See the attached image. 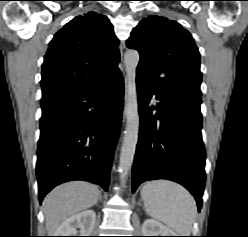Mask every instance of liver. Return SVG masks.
I'll list each match as a JSON object with an SVG mask.
<instances>
[{
  "mask_svg": "<svg viewBox=\"0 0 248 237\" xmlns=\"http://www.w3.org/2000/svg\"><path fill=\"white\" fill-rule=\"evenodd\" d=\"M99 195L95 185L82 181L68 182L53 189L43 202L48 234L53 236L67 218L94 206Z\"/></svg>",
  "mask_w": 248,
  "mask_h": 237,
  "instance_id": "6515ba94",
  "label": "liver"
}]
</instances>
